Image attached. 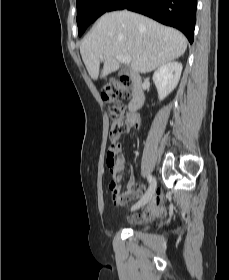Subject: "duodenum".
Here are the masks:
<instances>
[{"label": "duodenum", "mask_w": 229, "mask_h": 280, "mask_svg": "<svg viewBox=\"0 0 229 280\" xmlns=\"http://www.w3.org/2000/svg\"><path fill=\"white\" fill-rule=\"evenodd\" d=\"M127 76H129L134 82L132 98L129 102L128 108L131 112H135L143 105L145 101V90L139 74L129 73Z\"/></svg>", "instance_id": "1"}]
</instances>
